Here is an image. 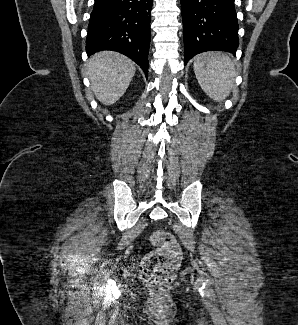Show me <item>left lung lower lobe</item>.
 Segmentation results:
<instances>
[{
	"label": "left lung lower lobe",
	"mask_w": 298,
	"mask_h": 325,
	"mask_svg": "<svg viewBox=\"0 0 298 325\" xmlns=\"http://www.w3.org/2000/svg\"><path fill=\"white\" fill-rule=\"evenodd\" d=\"M185 64L196 54L220 50L236 54L239 45L234 0H180Z\"/></svg>",
	"instance_id": "0a47b994"
}]
</instances>
